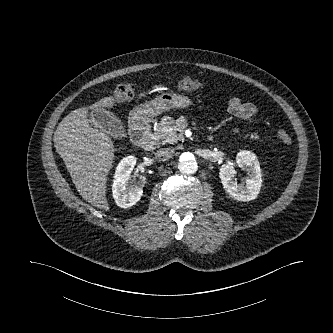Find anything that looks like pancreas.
Segmentation results:
<instances>
[{
  "label": "pancreas",
  "instance_id": "1",
  "mask_svg": "<svg viewBox=\"0 0 333 333\" xmlns=\"http://www.w3.org/2000/svg\"><path fill=\"white\" fill-rule=\"evenodd\" d=\"M234 132H238L234 130ZM155 136L157 139L163 140L165 143H175L183 139V131L175 123L172 117L164 116L160 123L155 127ZM250 136V139H257L255 134H247L245 138Z\"/></svg>",
  "mask_w": 333,
  "mask_h": 333
}]
</instances>
